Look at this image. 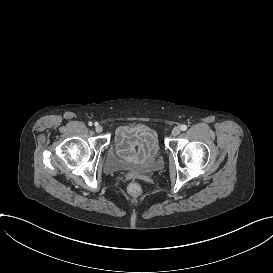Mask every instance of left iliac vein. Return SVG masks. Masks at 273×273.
Wrapping results in <instances>:
<instances>
[{
    "label": "left iliac vein",
    "mask_w": 273,
    "mask_h": 273,
    "mask_svg": "<svg viewBox=\"0 0 273 273\" xmlns=\"http://www.w3.org/2000/svg\"><path fill=\"white\" fill-rule=\"evenodd\" d=\"M180 128L179 127H174L173 130H172V135L173 136H177L180 134Z\"/></svg>",
    "instance_id": "obj_1"
}]
</instances>
